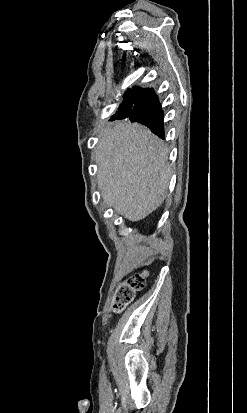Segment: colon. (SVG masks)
I'll return each instance as SVG.
<instances>
[{"label":"colon","mask_w":247,"mask_h":413,"mask_svg":"<svg viewBox=\"0 0 247 413\" xmlns=\"http://www.w3.org/2000/svg\"><path fill=\"white\" fill-rule=\"evenodd\" d=\"M147 272L142 271L139 273L131 274L119 283L115 300L112 308L115 313H119L126 306H128L134 297L135 292L142 290L145 287Z\"/></svg>","instance_id":"obj_1"}]
</instances>
